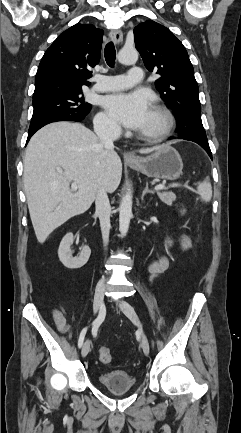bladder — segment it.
Listing matches in <instances>:
<instances>
[{"mask_svg":"<svg viewBox=\"0 0 241 433\" xmlns=\"http://www.w3.org/2000/svg\"><path fill=\"white\" fill-rule=\"evenodd\" d=\"M99 383L112 393L132 390L136 387V378L126 371H109L99 375Z\"/></svg>","mask_w":241,"mask_h":433,"instance_id":"1","label":"bladder"}]
</instances>
